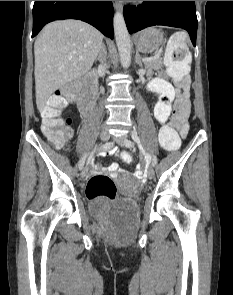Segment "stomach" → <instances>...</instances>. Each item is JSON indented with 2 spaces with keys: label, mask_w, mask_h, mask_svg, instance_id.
<instances>
[{
  "label": "stomach",
  "mask_w": 233,
  "mask_h": 295,
  "mask_svg": "<svg viewBox=\"0 0 233 295\" xmlns=\"http://www.w3.org/2000/svg\"><path fill=\"white\" fill-rule=\"evenodd\" d=\"M163 42V34L155 28H148L136 35L137 49L142 53H151L157 50Z\"/></svg>",
  "instance_id": "stomach-1"
}]
</instances>
